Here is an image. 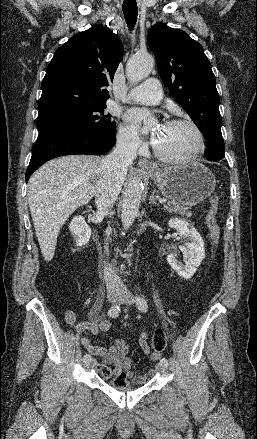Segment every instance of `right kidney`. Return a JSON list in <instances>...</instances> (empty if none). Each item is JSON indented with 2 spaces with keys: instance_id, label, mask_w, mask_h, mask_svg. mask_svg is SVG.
Returning a JSON list of instances; mask_svg holds the SVG:
<instances>
[{
  "instance_id": "obj_1",
  "label": "right kidney",
  "mask_w": 257,
  "mask_h": 439,
  "mask_svg": "<svg viewBox=\"0 0 257 439\" xmlns=\"http://www.w3.org/2000/svg\"><path fill=\"white\" fill-rule=\"evenodd\" d=\"M72 234L76 236V245L82 247L86 245L91 237V229L87 225L84 217L76 216L69 225Z\"/></svg>"
}]
</instances>
